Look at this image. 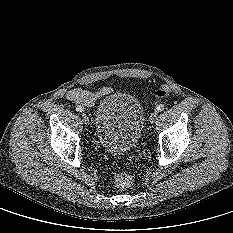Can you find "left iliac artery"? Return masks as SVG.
Masks as SVG:
<instances>
[{
	"label": "left iliac artery",
	"mask_w": 233,
	"mask_h": 233,
	"mask_svg": "<svg viewBox=\"0 0 233 233\" xmlns=\"http://www.w3.org/2000/svg\"><path fill=\"white\" fill-rule=\"evenodd\" d=\"M155 110H156V112L163 111L164 110V105L163 104L158 105Z\"/></svg>",
	"instance_id": "left-iliac-artery-1"
}]
</instances>
